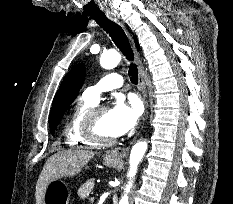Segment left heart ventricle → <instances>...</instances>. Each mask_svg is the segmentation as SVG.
Returning a JSON list of instances; mask_svg holds the SVG:
<instances>
[{
	"label": "left heart ventricle",
	"instance_id": "1",
	"mask_svg": "<svg viewBox=\"0 0 233 204\" xmlns=\"http://www.w3.org/2000/svg\"><path fill=\"white\" fill-rule=\"evenodd\" d=\"M97 129L99 134H101L102 136L111 137V138L116 137V135L112 130L111 120L108 110H105L99 114L97 119Z\"/></svg>",
	"mask_w": 233,
	"mask_h": 204
}]
</instances>
